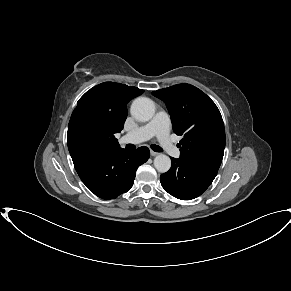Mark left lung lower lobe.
Masks as SVG:
<instances>
[{
    "mask_svg": "<svg viewBox=\"0 0 291 291\" xmlns=\"http://www.w3.org/2000/svg\"><path fill=\"white\" fill-rule=\"evenodd\" d=\"M171 161L170 170L160 177L161 185L170 195L181 200L200 196L217 175L197 169L181 159L171 158Z\"/></svg>",
    "mask_w": 291,
    "mask_h": 291,
    "instance_id": "1",
    "label": "left lung lower lobe"
}]
</instances>
